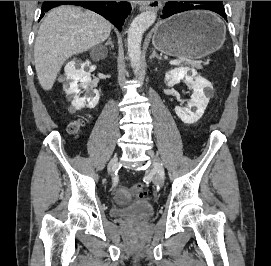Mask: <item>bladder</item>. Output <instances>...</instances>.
<instances>
[{
	"instance_id": "1",
	"label": "bladder",
	"mask_w": 271,
	"mask_h": 266,
	"mask_svg": "<svg viewBox=\"0 0 271 266\" xmlns=\"http://www.w3.org/2000/svg\"><path fill=\"white\" fill-rule=\"evenodd\" d=\"M114 215L121 216L130 221H143L154 213V206L148 201H138L125 208L114 206L112 208Z\"/></svg>"
}]
</instances>
